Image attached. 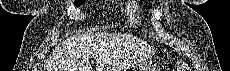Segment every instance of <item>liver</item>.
Returning a JSON list of instances; mask_svg holds the SVG:
<instances>
[{
	"instance_id": "1",
	"label": "liver",
	"mask_w": 230,
	"mask_h": 71,
	"mask_svg": "<svg viewBox=\"0 0 230 71\" xmlns=\"http://www.w3.org/2000/svg\"><path fill=\"white\" fill-rule=\"evenodd\" d=\"M155 51L130 34L85 33L72 35L52 52L46 71H126L136 61L150 58Z\"/></svg>"
}]
</instances>
